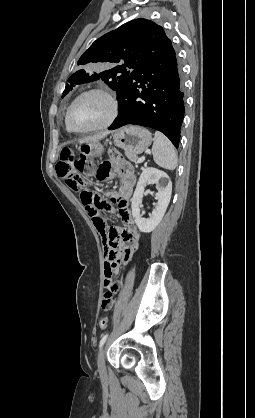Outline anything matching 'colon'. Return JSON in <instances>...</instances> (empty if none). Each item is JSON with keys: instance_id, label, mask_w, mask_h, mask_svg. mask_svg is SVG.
<instances>
[{"instance_id": "obj_1", "label": "colon", "mask_w": 255, "mask_h": 418, "mask_svg": "<svg viewBox=\"0 0 255 418\" xmlns=\"http://www.w3.org/2000/svg\"><path fill=\"white\" fill-rule=\"evenodd\" d=\"M56 171L71 189L80 191L82 203L86 206L93 220H95L97 228L104 233L105 228L108 227L100 217L99 211L101 208H105L107 204L99 195L83 188L86 184V179L91 177L96 171L94 163L88 161L85 157L77 156L72 148L64 147L61 149ZM108 211L110 212L111 210L109 209ZM127 228L134 227L130 225ZM99 326L101 329H105L108 326V318L106 316L100 318Z\"/></svg>"}]
</instances>
